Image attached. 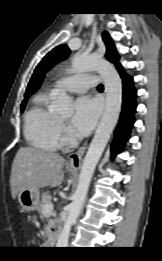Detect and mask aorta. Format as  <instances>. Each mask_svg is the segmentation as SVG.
<instances>
[{
  "mask_svg": "<svg viewBox=\"0 0 162 261\" xmlns=\"http://www.w3.org/2000/svg\"><path fill=\"white\" fill-rule=\"evenodd\" d=\"M98 71L104 82L106 105L95 135L83 160L74 199L69 206L67 220L57 241V248H66L72 225L83 206L96 165L116 126L122 104V82L114 66L97 56L75 55L71 62V73ZM72 99L60 91L52 102L51 109L60 114H70Z\"/></svg>",
  "mask_w": 162,
  "mask_h": 261,
  "instance_id": "762f6f07",
  "label": "aorta"
}]
</instances>
